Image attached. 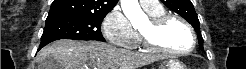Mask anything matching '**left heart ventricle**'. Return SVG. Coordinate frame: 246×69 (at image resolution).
Returning a JSON list of instances; mask_svg holds the SVG:
<instances>
[{
	"mask_svg": "<svg viewBox=\"0 0 246 69\" xmlns=\"http://www.w3.org/2000/svg\"><path fill=\"white\" fill-rule=\"evenodd\" d=\"M140 31L149 35L150 39L167 48H180L190 41V35L178 20H170L159 32L152 33L147 22Z\"/></svg>",
	"mask_w": 246,
	"mask_h": 69,
	"instance_id": "1",
	"label": "left heart ventricle"
}]
</instances>
